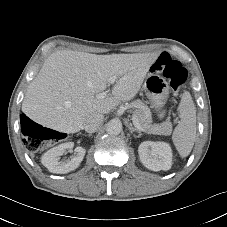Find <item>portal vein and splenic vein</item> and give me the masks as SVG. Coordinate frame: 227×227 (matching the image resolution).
<instances>
[{"label": "portal vein and splenic vein", "mask_w": 227, "mask_h": 227, "mask_svg": "<svg viewBox=\"0 0 227 227\" xmlns=\"http://www.w3.org/2000/svg\"><path fill=\"white\" fill-rule=\"evenodd\" d=\"M116 80H117V77L116 76L110 77L109 80H108L109 85H113L116 82ZM108 92H109V89H107V90H105V91L97 94L96 95V98L97 99H103V98H105V97L108 96ZM132 121H133L134 126L137 129H139L142 132H146V129L140 125L137 117L134 114L132 115Z\"/></svg>", "instance_id": "1"}]
</instances>
